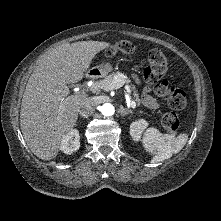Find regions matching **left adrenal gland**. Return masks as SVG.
Wrapping results in <instances>:
<instances>
[{"mask_svg": "<svg viewBox=\"0 0 221 221\" xmlns=\"http://www.w3.org/2000/svg\"><path fill=\"white\" fill-rule=\"evenodd\" d=\"M119 113L122 117H124L125 115L132 114V110H127L123 108V106H121L119 109Z\"/></svg>", "mask_w": 221, "mask_h": 221, "instance_id": "a2214340", "label": "left adrenal gland"}]
</instances>
